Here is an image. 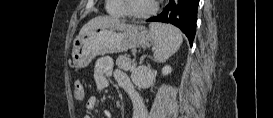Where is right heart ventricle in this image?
I'll return each mask as SVG.
<instances>
[{"label":"right heart ventricle","instance_id":"obj_1","mask_svg":"<svg viewBox=\"0 0 273 118\" xmlns=\"http://www.w3.org/2000/svg\"><path fill=\"white\" fill-rule=\"evenodd\" d=\"M105 9L109 14L112 15H126L123 0H107Z\"/></svg>","mask_w":273,"mask_h":118}]
</instances>
